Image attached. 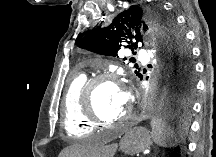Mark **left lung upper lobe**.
I'll return each instance as SVG.
<instances>
[{
    "label": "left lung upper lobe",
    "mask_w": 216,
    "mask_h": 157,
    "mask_svg": "<svg viewBox=\"0 0 216 157\" xmlns=\"http://www.w3.org/2000/svg\"><path fill=\"white\" fill-rule=\"evenodd\" d=\"M141 29L152 35L155 45L160 49L164 67L167 68V80L172 74L175 82L181 86L192 83L194 67L185 36L177 28L174 19L159 6L131 5L107 27L88 33L80 40L78 47L115 57L121 47H128L132 51L137 49L138 42H143ZM136 74L142 77L140 73Z\"/></svg>",
    "instance_id": "left-lung-upper-lobe-1"
}]
</instances>
